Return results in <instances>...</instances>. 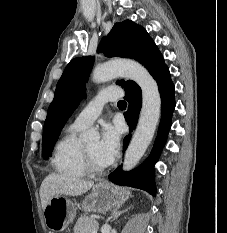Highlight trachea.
<instances>
[{"label":"trachea","instance_id":"1","mask_svg":"<svg viewBox=\"0 0 227 233\" xmlns=\"http://www.w3.org/2000/svg\"><path fill=\"white\" fill-rule=\"evenodd\" d=\"M126 105L127 104L125 101H122V100L118 101V106H126Z\"/></svg>","mask_w":227,"mask_h":233}]
</instances>
